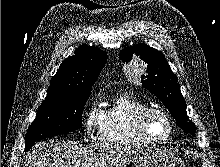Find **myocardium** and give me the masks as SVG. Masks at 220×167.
<instances>
[{"label":"myocardium","instance_id":"1","mask_svg":"<svg viewBox=\"0 0 220 167\" xmlns=\"http://www.w3.org/2000/svg\"><path fill=\"white\" fill-rule=\"evenodd\" d=\"M153 113H156V114H159L160 116H162L166 120V122L169 126L168 134L162 138H159V139L151 138L146 131V120ZM134 125H135V129H136L138 135L140 136V138L147 144H152V145L163 144L166 141H168L172 137V135L174 134V123H173L172 118L165 110H163L162 108H160L158 106H147V107L143 108L137 114Z\"/></svg>","mask_w":220,"mask_h":167}]
</instances>
